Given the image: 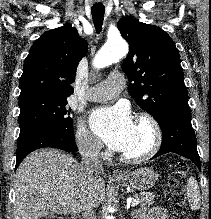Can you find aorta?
<instances>
[{
  "mask_svg": "<svg viewBox=\"0 0 211 219\" xmlns=\"http://www.w3.org/2000/svg\"><path fill=\"white\" fill-rule=\"evenodd\" d=\"M128 53V45L122 39L108 41L97 53L94 65L97 68L109 66L113 62L124 57ZM106 219H114L113 216H107Z\"/></svg>",
  "mask_w": 211,
  "mask_h": 219,
  "instance_id": "obj_1",
  "label": "aorta"
}]
</instances>
